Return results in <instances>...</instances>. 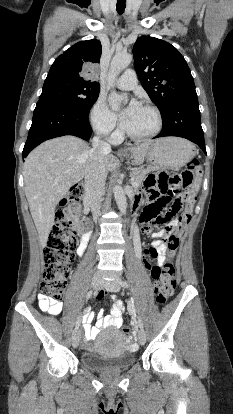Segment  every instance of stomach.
I'll return each instance as SVG.
<instances>
[{
  "instance_id": "0dacf381",
  "label": "stomach",
  "mask_w": 233,
  "mask_h": 414,
  "mask_svg": "<svg viewBox=\"0 0 233 414\" xmlns=\"http://www.w3.org/2000/svg\"><path fill=\"white\" fill-rule=\"evenodd\" d=\"M195 155V147L180 138H162L152 142L146 155L151 169H179L186 165Z\"/></svg>"
}]
</instances>
